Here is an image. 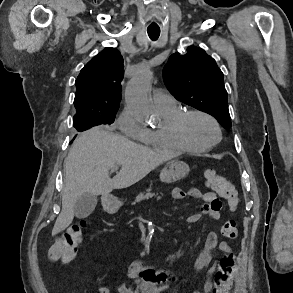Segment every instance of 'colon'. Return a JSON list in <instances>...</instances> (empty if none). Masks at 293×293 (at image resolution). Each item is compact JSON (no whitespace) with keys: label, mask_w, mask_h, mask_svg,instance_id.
<instances>
[{"label":"colon","mask_w":293,"mask_h":293,"mask_svg":"<svg viewBox=\"0 0 293 293\" xmlns=\"http://www.w3.org/2000/svg\"><path fill=\"white\" fill-rule=\"evenodd\" d=\"M205 179L210 188L221 195L228 203L231 210H236L240 203L238 192L231 181L214 170L205 172ZM88 222L84 219L70 226L61 234L49 249L51 260H60L63 263L71 262L76 249L87 231ZM222 234L227 238H236L238 229L234 220L226 221L222 226ZM236 271L235 256L233 252H227L218 263V271L214 278L212 293H229L233 277Z\"/></svg>","instance_id":"1"}]
</instances>
